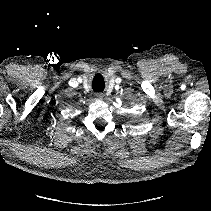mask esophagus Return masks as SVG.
Listing matches in <instances>:
<instances>
[{"label": "esophagus", "instance_id": "34e87169", "mask_svg": "<svg viewBox=\"0 0 211 211\" xmlns=\"http://www.w3.org/2000/svg\"><path fill=\"white\" fill-rule=\"evenodd\" d=\"M95 97L97 98V99H103V94H101V93H96L95 94Z\"/></svg>", "mask_w": 211, "mask_h": 211}]
</instances>
